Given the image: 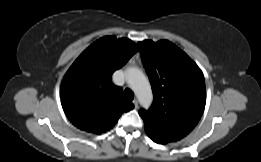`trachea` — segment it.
Returning <instances> with one entry per match:
<instances>
[{
    "instance_id": "trachea-1",
    "label": "trachea",
    "mask_w": 261,
    "mask_h": 162,
    "mask_svg": "<svg viewBox=\"0 0 261 162\" xmlns=\"http://www.w3.org/2000/svg\"><path fill=\"white\" fill-rule=\"evenodd\" d=\"M123 95H124V98L128 101H132L134 99V93L132 92V90H130L128 88L124 90Z\"/></svg>"
}]
</instances>
